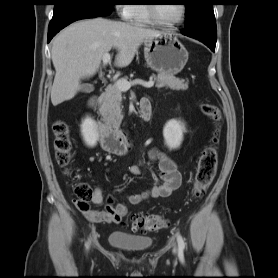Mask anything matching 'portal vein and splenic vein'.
Wrapping results in <instances>:
<instances>
[{"label": "portal vein and splenic vein", "instance_id": "obj_1", "mask_svg": "<svg viewBox=\"0 0 278 278\" xmlns=\"http://www.w3.org/2000/svg\"><path fill=\"white\" fill-rule=\"evenodd\" d=\"M111 60V56L109 53H105L102 57V61L104 65H107L108 63H110ZM115 85L121 90V91H128L131 86L133 85H142L145 88H151L154 85V81L151 79L148 82H144V81H132V82H128L127 80H123V79H119L115 82Z\"/></svg>", "mask_w": 278, "mask_h": 278}]
</instances>
